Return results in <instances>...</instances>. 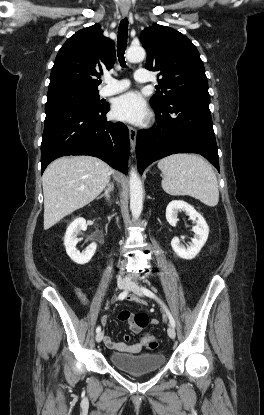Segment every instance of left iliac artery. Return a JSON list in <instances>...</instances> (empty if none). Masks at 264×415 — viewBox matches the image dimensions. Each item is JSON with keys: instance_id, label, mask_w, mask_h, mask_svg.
I'll list each match as a JSON object with an SVG mask.
<instances>
[{"instance_id": "obj_1", "label": "left iliac artery", "mask_w": 264, "mask_h": 415, "mask_svg": "<svg viewBox=\"0 0 264 415\" xmlns=\"http://www.w3.org/2000/svg\"><path fill=\"white\" fill-rule=\"evenodd\" d=\"M142 291H143V293L146 295V296H148V297H150V298H153V299H155V300H157L161 305H162V307H163V309L165 310V312H166V314H167V316H168V318H169V321H170V324L173 326V327H175V320H174V318H173V316H172V314L170 313V311L168 310V308L166 307V305L164 304V303H162V301L152 292V291H150L149 289H147V288H142Z\"/></svg>"}]
</instances>
